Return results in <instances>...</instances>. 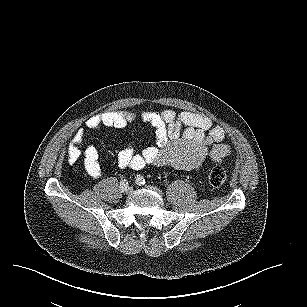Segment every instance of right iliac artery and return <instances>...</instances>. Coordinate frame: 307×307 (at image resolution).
<instances>
[{
    "instance_id": "right-iliac-artery-1",
    "label": "right iliac artery",
    "mask_w": 307,
    "mask_h": 307,
    "mask_svg": "<svg viewBox=\"0 0 307 307\" xmlns=\"http://www.w3.org/2000/svg\"><path fill=\"white\" fill-rule=\"evenodd\" d=\"M128 186V182L124 179L120 182V187L123 188V187H127Z\"/></svg>"
}]
</instances>
